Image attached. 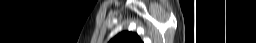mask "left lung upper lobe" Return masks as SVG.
Listing matches in <instances>:
<instances>
[{
	"instance_id": "1",
	"label": "left lung upper lobe",
	"mask_w": 256,
	"mask_h": 43,
	"mask_svg": "<svg viewBox=\"0 0 256 43\" xmlns=\"http://www.w3.org/2000/svg\"><path fill=\"white\" fill-rule=\"evenodd\" d=\"M110 43H142V41L137 34L125 31L115 36Z\"/></svg>"
}]
</instances>
